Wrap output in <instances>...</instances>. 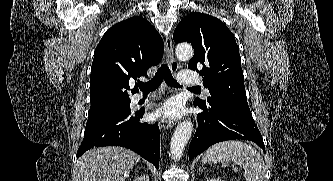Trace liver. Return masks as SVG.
<instances>
[{
    "label": "liver",
    "mask_w": 333,
    "mask_h": 181,
    "mask_svg": "<svg viewBox=\"0 0 333 181\" xmlns=\"http://www.w3.org/2000/svg\"><path fill=\"white\" fill-rule=\"evenodd\" d=\"M139 160L138 154L123 147L90 149L77 161L75 181H125Z\"/></svg>",
    "instance_id": "1"
}]
</instances>
